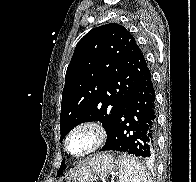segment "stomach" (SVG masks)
<instances>
[{
	"label": "stomach",
	"instance_id": "obj_1",
	"mask_svg": "<svg viewBox=\"0 0 196 182\" xmlns=\"http://www.w3.org/2000/svg\"><path fill=\"white\" fill-rule=\"evenodd\" d=\"M115 160L109 153H97L84 160L66 179V182H94L115 169Z\"/></svg>",
	"mask_w": 196,
	"mask_h": 182
}]
</instances>
